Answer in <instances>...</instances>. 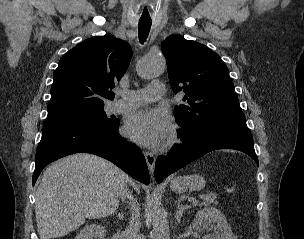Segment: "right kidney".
<instances>
[{
    "label": "right kidney",
    "mask_w": 304,
    "mask_h": 239,
    "mask_svg": "<svg viewBox=\"0 0 304 239\" xmlns=\"http://www.w3.org/2000/svg\"><path fill=\"white\" fill-rule=\"evenodd\" d=\"M106 230L103 226L98 224H90L80 230L75 239H93L96 237H103Z\"/></svg>",
    "instance_id": "1"
}]
</instances>
